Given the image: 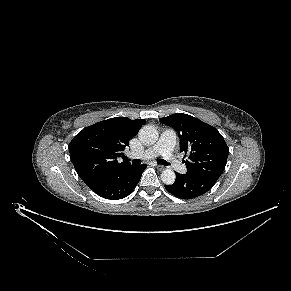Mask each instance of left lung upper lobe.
Segmentation results:
<instances>
[{
	"label": "left lung upper lobe",
	"instance_id": "5c2ea615",
	"mask_svg": "<svg viewBox=\"0 0 291 291\" xmlns=\"http://www.w3.org/2000/svg\"><path fill=\"white\" fill-rule=\"evenodd\" d=\"M173 127L180 138V150L188 155L184 161L189 175L220 176L226 166L229 148L214 127L183 113L160 118Z\"/></svg>",
	"mask_w": 291,
	"mask_h": 291
}]
</instances>
